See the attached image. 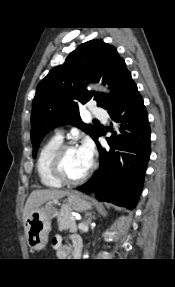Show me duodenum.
Masks as SVG:
<instances>
[{"label":"duodenum","mask_w":175,"mask_h":287,"mask_svg":"<svg viewBox=\"0 0 175 287\" xmlns=\"http://www.w3.org/2000/svg\"><path fill=\"white\" fill-rule=\"evenodd\" d=\"M80 251H81V248H80V250L78 252H74V256L75 257H79L80 256Z\"/></svg>","instance_id":"410a0bca"}]
</instances>
